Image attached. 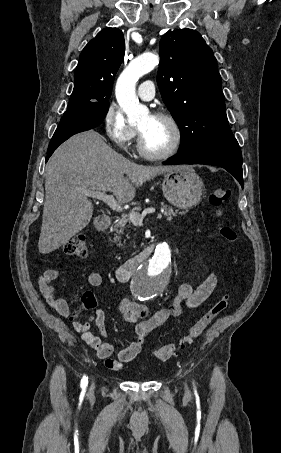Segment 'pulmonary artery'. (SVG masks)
<instances>
[{
  "instance_id": "e3ab8cb5",
  "label": "pulmonary artery",
  "mask_w": 281,
  "mask_h": 453,
  "mask_svg": "<svg viewBox=\"0 0 281 453\" xmlns=\"http://www.w3.org/2000/svg\"><path fill=\"white\" fill-rule=\"evenodd\" d=\"M153 85L154 83L150 80L142 82L137 89V96L145 101H150L151 99H153L154 93L144 91V89H147Z\"/></svg>"
}]
</instances>
